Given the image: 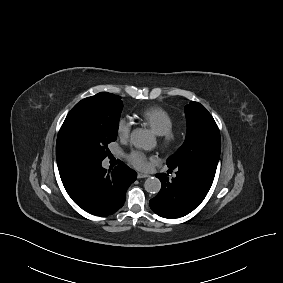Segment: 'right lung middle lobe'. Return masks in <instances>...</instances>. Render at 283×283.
I'll return each mask as SVG.
<instances>
[{"mask_svg":"<svg viewBox=\"0 0 283 283\" xmlns=\"http://www.w3.org/2000/svg\"><path fill=\"white\" fill-rule=\"evenodd\" d=\"M122 108L121 97L107 92L78 102L58 133V168L73 160H103L108 156V144L117 138Z\"/></svg>","mask_w":283,"mask_h":283,"instance_id":"dd1d6c3e","label":"right lung middle lobe"}]
</instances>
